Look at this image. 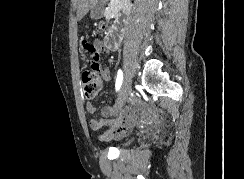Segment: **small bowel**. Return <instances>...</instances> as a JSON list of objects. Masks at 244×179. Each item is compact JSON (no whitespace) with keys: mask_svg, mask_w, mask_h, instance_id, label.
Wrapping results in <instances>:
<instances>
[{"mask_svg":"<svg viewBox=\"0 0 244 179\" xmlns=\"http://www.w3.org/2000/svg\"><path fill=\"white\" fill-rule=\"evenodd\" d=\"M82 46L88 56L95 62L98 61L101 56H110L114 49H116V47L106 45L100 38H94L92 42L84 40ZM101 76L104 81L111 79V69L108 65H103L101 67ZM85 108L90 114L96 113V107L92 103H87ZM139 113V110L134 111V113L131 114L128 111H119L112 107H106L102 110V115L105 117L99 120H92L91 127L95 130L101 127L108 128V130L101 136L102 140L108 141L114 138H119L124 135L137 120ZM115 115H117V118L112 119Z\"/></svg>","mask_w":244,"mask_h":179,"instance_id":"small-bowel-1","label":"small bowel"}]
</instances>
